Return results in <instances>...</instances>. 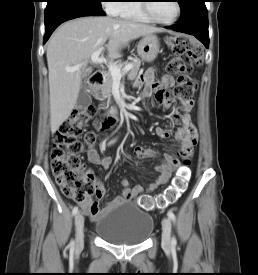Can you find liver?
Masks as SVG:
<instances>
[{
	"mask_svg": "<svg viewBox=\"0 0 258 275\" xmlns=\"http://www.w3.org/2000/svg\"><path fill=\"white\" fill-rule=\"evenodd\" d=\"M160 31L146 24L111 17H81L61 25L51 36L46 52L51 132H56L69 118L82 79L89 72L85 66L75 72L66 71L67 67L90 59L95 51L104 47L110 58H120L121 48L130 41Z\"/></svg>",
	"mask_w": 258,
	"mask_h": 275,
	"instance_id": "liver-1",
	"label": "liver"
}]
</instances>
